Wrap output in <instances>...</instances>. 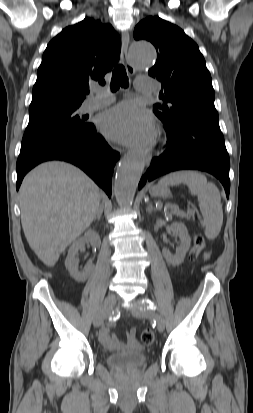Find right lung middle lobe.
I'll use <instances>...</instances> for the list:
<instances>
[{
    "label": "right lung middle lobe",
    "mask_w": 253,
    "mask_h": 413,
    "mask_svg": "<svg viewBox=\"0 0 253 413\" xmlns=\"http://www.w3.org/2000/svg\"><path fill=\"white\" fill-rule=\"evenodd\" d=\"M78 108L79 106H75L30 112L21 145L86 130L90 123L85 122V116L78 115Z\"/></svg>",
    "instance_id": "right-lung-middle-lobe-1"
}]
</instances>
